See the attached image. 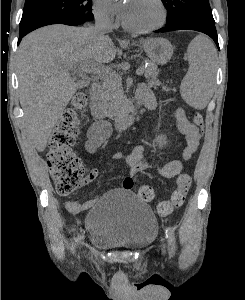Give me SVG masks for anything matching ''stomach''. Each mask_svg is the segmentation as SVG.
<instances>
[{
    "label": "stomach",
    "instance_id": "stomach-1",
    "mask_svg": "<svg viewBox=\"0 0 245 300\" xmlns=\"http://www.w3.org/2000/svg\"><path fill=\"white\" fill-rule=\"evenodd\" d=\"M149 59L159 65L166 64L173 55V46L164 38H147L140 42Z\"/></svg>",
    "mask_w": 245,
    "mask_h": 300
}]
</instances>
